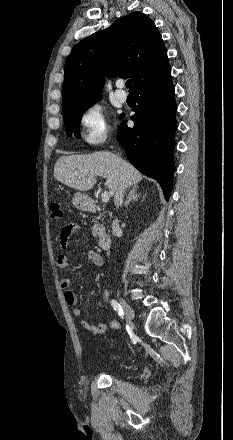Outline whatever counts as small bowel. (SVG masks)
Returning <instances> with one entry per match:
<instances>
[{
    "mask_svg": "<svg viewBox=\"0 0 233 440\" xmlns=\"http://www.w3.org/2000/svg\"><path fill=\"white\" fill-rule=\"evenodd\" d=\"M80 229L79 225L76 223H70L65 225L60 233V249L62 253L57 256L56 263L58 268L63 270H68L71 268V262L69 257L65 253L73 244L75 240V235L77 231ZM88 259L93 262L96 266H103L104 260L101 255L95 251H90L88 253ZM59 285L62 289H64V299L68 306L73 308V314L76 317H80L83 314L82 309L78 306V296L75 292L70 289L71 280L68 276H61L59 278ZM107 297V291L103 290L102 299L105 302ZM82 327L93 334H102L107 330H116L119 328L120 324L117 320L113 319L108 323L101 322L98 324H94L89 321H82Z\"/></svg>",
    "mask_w": 233,
    "mask_h": 440,
    "instance_id": "obj_1",
    "label": "small bowel"
}]
</instances>
